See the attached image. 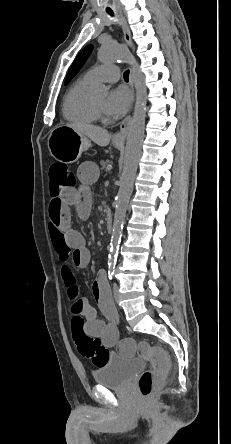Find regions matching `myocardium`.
<instances>
[{
  "instance_id": "obj_1",
  "label": "myocardium",
  "mask_w": 231,
  "mask_h": 444,
  "mask_svg": "<svg viewBox=\"0 0 231 444\" xmlns=\"http://www.w3.org/2000/svg\"><path fill=\"white\" fill-rule=\"evenodd\" d=\"M93 109L95 111V113L97 114L98 117H103V111L100 110L99 108H97L94 104H93Z\"/></svg>"
}]
</instances>
